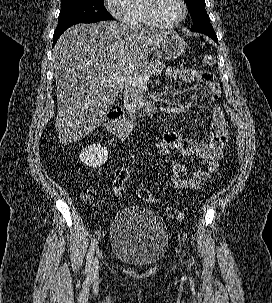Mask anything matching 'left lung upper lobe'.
Returning a JSON list of instances; mask_svg holds the SVG:
<instances>
[{
    "mask_svg": "<svg viewBox=\"0 0 272 303\" xmlns=\"http://www.w3.org/2000/svg\"><path fill=\"white\" fill-rule=\"evenodd\" d=\"M190 15L193 21L191 31L194 32H214L212 25L209 22L207 12L205 10L204 0H185Z\"/></svg>",
    "mask_w": 272,
    "mask_h": 303,
    "instance_id": "1",
    "label": "left lung upper lobe"
}]
</instances>
